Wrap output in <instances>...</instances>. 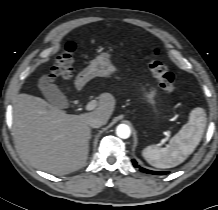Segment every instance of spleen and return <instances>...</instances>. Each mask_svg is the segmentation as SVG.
Listing matches in <instances>:
<instances>
[{
    "instance_id": "spleen-1",
    "label": "spleen",
    "mask_w": 218,
    "mask_h": 210,
    "mask_svg": "<svg viewBox=\"0 0 218 210\" xmlns=\"http://www.w3.org/2000/svg\"><path fill=\"white\" fill-rule=\"evenodd\" d=\"M206 127V115L203 108L197 107L190 112L189 121L175 134L168 146L158 148L148 146L143 150L144 159L156 168L175 167L193 153L201 141Z\"/></svg>"
}]
</instances>
